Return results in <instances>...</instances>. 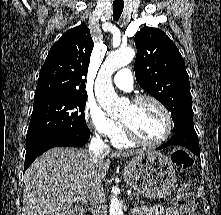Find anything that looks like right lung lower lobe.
I'll list each match as a JSON object with an SVG mask.
<instances>
[{
    "label": "right lung lower lobe",
    "instance_id": "1",
    "mask_svg": "<svg viewBox=\"0 0 221 215\" xmlns=\"http://www.w3.org/2000/svg\"><path fill=\"white\" fill-rule=\"evenodd\" d=\"M90 130L77 134H45L27 140L25 169L43 152L53 147H80L88 142Z\"/></svg>",
    "mask_w": 221,
    "mask_h": 215
}]
</instances>
